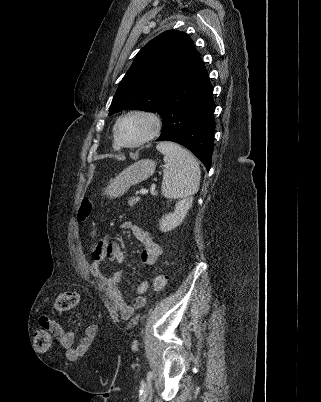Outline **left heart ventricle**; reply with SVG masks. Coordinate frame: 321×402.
<instances>
[{"instance_id": "b2bd125f", "label": "left heart ventricle", "mask_w": 321, "mask_h": 402, "mask_svg": "<svg viewBox=\"0 0 321 402\" xmlns=\"http://www.w3.org/2000/svg\"><path fill=\"white\" fill-rule=\"evenodd\" d=\"M150 130V122L141 116H132L121 122L119 136L124 143H134Z\"/></svg>"}]
</instances>
